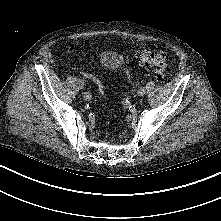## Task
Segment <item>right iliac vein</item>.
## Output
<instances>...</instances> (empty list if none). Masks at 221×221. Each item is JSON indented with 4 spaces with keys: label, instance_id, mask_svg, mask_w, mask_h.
I'll list each match as a JSON object with an SVG mask.
<instances>
[{
    "label": "right iliac vein",
    "instance_id": "obj_1",
    "mask_svg": "<svg viewBox=\"0 0 221 221\" xmlns=\"http://www.w3.org/2000/svg\"><path fill=\"white\" fill-rule=\"evenodd\" d=\"M78 84H79L80 89L84 88V82L82 80H79Z\"/></svg>",
    "mask_w": 221,
    "mask_h": 221
}]
</instances>
